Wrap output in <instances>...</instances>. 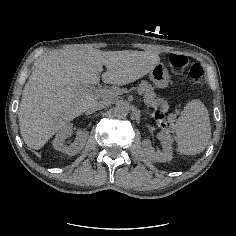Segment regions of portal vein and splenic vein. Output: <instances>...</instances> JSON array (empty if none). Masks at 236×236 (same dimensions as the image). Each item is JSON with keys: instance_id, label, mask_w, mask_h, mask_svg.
Returning <instances> with one entry per match:
<instances>
[{"instance_id": "1", "label": "portal vein and splenic vein", "mask_w": 236, "mask_h": 236, "mask_svg": "<svg viewBox=\"0 0 236 236\" xmlns=\"http://www.w3.org/2000/svg\"><path fill=\"white\" fill-rule=\"evenodd\" d=\"M79 87L81 88V90H84V91L92 90L102 97H105L106 94L108 93V91H106L105 89H102L101 87H94L90 83H81L79 84Z\"/></svg>"}]
</instances>
